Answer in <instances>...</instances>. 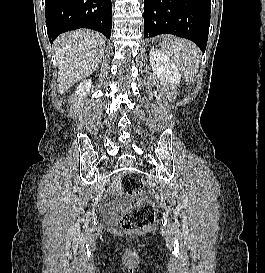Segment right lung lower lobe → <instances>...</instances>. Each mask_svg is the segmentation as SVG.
Returning <instances> with one entry per match:
<instances>
[{"mask_svg":"<svg viewBox=\"0 0 265 273\" xmlns=\"http://www.w3.org/2000/svg\"><path fill=\"white\" fill-rule=\"evenodd\" d=\"M50 42L63 32L89 28L110 37L111 0H45Z\"/></svg>","mask_w":265,"mask_h":273,"instance_id":"obj_1","label":"right lung lower lobe"}]
</instances>
